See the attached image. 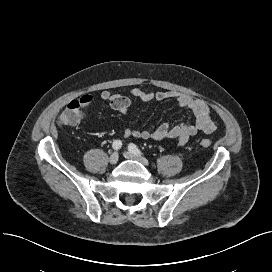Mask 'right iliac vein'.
Masks as SVG:
<instances>
[{"mask_svg": "<svg viewBox=\"0 0 272 272\" xmlns=\"http://www.w3.org/2000/svg\"><path fill=\"white\" fill-rule=\"evenodd\" d=\"M118 159H119V155L117 152H114L111 154L110 158H109V162L110 164L114 165L118 162Z\"/></svg>", "mask_w": 272, "mask_h": 272, "instance_id": "63e3f726", "label": "right iliac vein"}]
</instances>
